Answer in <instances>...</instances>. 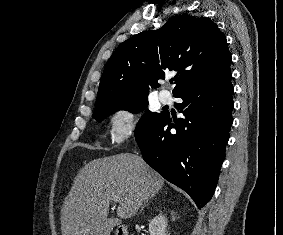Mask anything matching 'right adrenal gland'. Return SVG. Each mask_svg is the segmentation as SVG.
<instances>
[{
	"mask_svg": "<svg viewBox=\"0 0 283 235\" xmlns=\"http://www.w3.org/2000/svg\"><path fill=\"white\" fill-rule=\"evenodd\" d=\"M151 198H153V196H151L149 199H151ZM149 199H148V200H149ZM148 200H147V201H148ZM143 208H144V207H142L141 210H143Z\"/></svg>",
	"mask_w": 283,
	"mask_h": 235,
	"instance_id": "obj_1",
	"label": "right adrenal gland"
}]
</instances>
